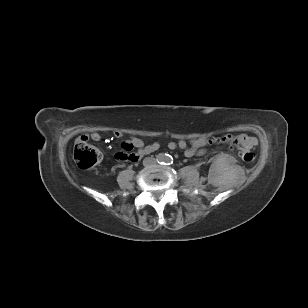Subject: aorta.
<instances>
[{
    "mask_svg": "<svg viewBox=\"0 0 308 308\" xmlns=\"http://www.w3.org/2000/svg\"><path fill=\"white\" fill-rule=\"evenodd\" d=\"M164 160L166 163L169 164L170 162H172L173 158L171 156H167V157H164Z\"/></svg>",
    "mask_w": 308,
    "mask_h": 308,
    "instance_id": "762f6f07",
    "label": "aorta"
}]
</instances>
